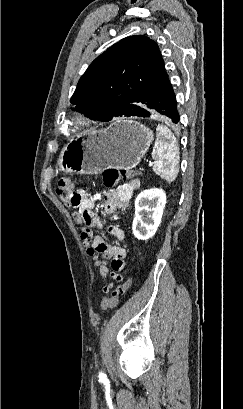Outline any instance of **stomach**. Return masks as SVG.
Here are the masks:
<instances>
[{
    "instance_id": "obj_1",
    "label": "stomach",
    "mask_w": 243,
    "mask_h": 409,
    "mask_svg": "<svg viewBox=\"0 0 243 409\" xmlns=\"http://www.w3.org/2000/svg\"><path fill=\"white\" fill-rule=\"evenodd\" d=\"M154 139L140 122L120 119L103 130L85 131L64 147L58 160L61 171L98 174L108 168L136 167Z\"/></svg>"
}]
</instances>
